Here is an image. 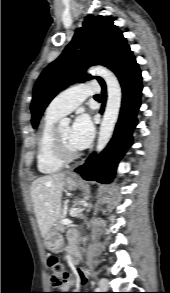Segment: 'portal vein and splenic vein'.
<instances>
[{
  "mask_svg": "<svg viewBox=\"0 0 170 293\" xmlns=\"http://www.w3.org/2000/svg\"><path fill=\"white\" fill-rule=\"evenodd\" d=\"M71 223H72V221L69 220V219H67V218H64V219L62 220V224H63V225H69V224H71Z\"/></svg>",
  "mask_w": 170,
  "mask_h": 293,
  "instance_id": "portal-vein-and-splenic-vein-1",
  "label": "portal vein and splenic vein"
}]
</instances>
